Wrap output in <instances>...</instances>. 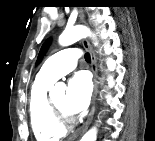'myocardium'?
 <instances>
[{"instance_id": "1", "label": "myocardium", "mask_w": 155, "mask_h": 141, "mask_svg": "<svg viewBox=\"0 0 155 141\" xmlns=\"http://www.w3.org/2000/svg\"><path fill=\"white\" fill-rule=\"evenodd\" d=\"M48 106L50 110V115L57 126L62 129L69 128L74 122V118L67 113L59 110L54 104L51 97H48Z\"/></svg>"}]
</instances>
